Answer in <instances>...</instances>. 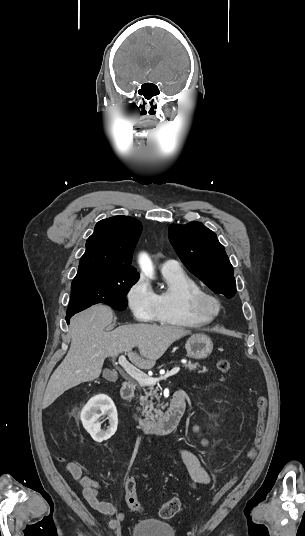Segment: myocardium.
Masks as SVG:
<instances>
[{
	"label": "myocardium",
	"mask_w": 305,
	"mask_h": 536,
	"mask_svg": "<svg viewBox=\"0 0 305 536\" xmlns=\"http://www.w3.org/2000/svg\"><path fill=\"white\" fill-rule=\"evenodd\" d=\"M215 302L217 309L211 312L210 303ZM187 310L205 324L214 323L223 311L222 299L210 291L201 290L187 297Z\"/></svg>",
	"instance_id": "1"
}]
</instances>
